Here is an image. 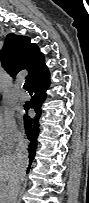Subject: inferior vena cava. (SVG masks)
<instances>
[{
	"instance_id": "602c4592",
	"label": "inferior vena cava",
	"mask_w": 89,
	"mask_h": 203,
	"mask_svg": "<svg viewBox=\"0 0 89 203\" xmlns=\"http://www.w3.org/2000/svg\"><path fill=\"white\" fill-rule=\"evenodd\" d=\"M28 144L29 141L27 139L21 138L18 141L17 147H16V152H15V156L18 159L19 162V174H20V179L17 182L14 194H13V202L12 203H18L17 201V196H18V192L20 189V183L21 180L23 178V176L25 175L26 172V168L28 166Z\"/></svg>"
}]
</instances>
